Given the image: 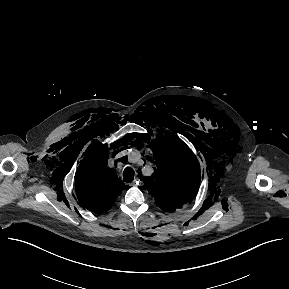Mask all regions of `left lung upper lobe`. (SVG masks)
<instances>
[{
    "instance_id": "obj_1",
    "label": "left lung upper lobe",
    "mask_w": 289,
    "mask_h": 289,
    "mask_svg": "<svg viewBox=\"0 0 289 289\" xmlns=\"http://www.w3.org/2000/svg\"><path fill=\"white\" fill-rule=\"evenodd\" d=\"M159 134L150 144L156 164L146 188L163 211L174 212L195 197L200 185V166L195 155L177 136Z\"/></svg>"
}]
</instances>
